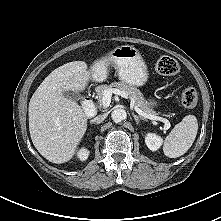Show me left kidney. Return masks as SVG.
I'll return each mask as SVG.
<instances>
[{"label":"left kidney","mask_w":221,"mask_h":221,"mask_svg":"<svg viewBox=\"0 0 221 221\" xmlns=\"http://www.w3.org/2000/svg\"><path fill=\"white\" fill-rule=\"evenodd\" d=\"M145 143L150 150L156 151L160 148L162 139L154 133H148L145 137Z\"/></svg>","instance_id":"5707ae66"}]
</instances>
